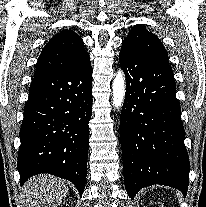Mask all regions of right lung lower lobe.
Returning a JSON list of instances; mask_svg holds the SVG:
<instances>
[{"label":"right lung lower lobe","mask_w":206,"mask_h":207,"mask_svg":"<svg viewBox=\"0 0 206 207\" xmlns=\"http://www.w3.org/2000/svg\"><path fill=\"white\" fill-rule=\"evenodd\" d=\"M92 114L90 58L61 73L34 77L24 107L17 169L21 185L49 173L84 191Z\"/></svg>","instance_id":"obj_1"}]
</instances>
